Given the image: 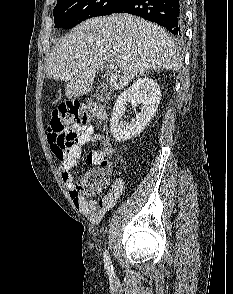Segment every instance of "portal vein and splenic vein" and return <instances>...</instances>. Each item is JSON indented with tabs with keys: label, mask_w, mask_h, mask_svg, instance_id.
<instances>
[{
	"label": "portal vein and splenic vein",
	"mask_w": 233,
	"mask_h": 294,
	"mask_svg": "<svg viewBox=\"0 0 233 294\" xmlns=\"http://www.w3.org/2000/svg\"><path fill=\"white\" fill-rule=\"evenodd\" d=\"M107 67L110 69H114L115 66H114V64L110 63L109 65H107Z\"/></svg>",
	"instance_id": "obj_1"
}]
</instances>
